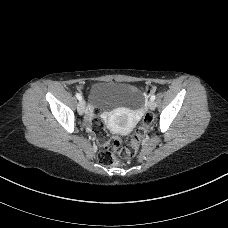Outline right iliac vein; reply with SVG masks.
<instances>
[{
    "label": "right iliac vein",
    "mask_w": 228,
    "mask_h": 228,
    "mask_svg": "<svg viewBox=\"0 0 228 228\" xmlns=\"http://www.w3.org/2000/svg\"><path fill=\"white\" fill-rule=\"evenodd\" d=\"M78 113L80 115H83L85 112V102L83 100H80L78 103V107H77Z\"/></svg>",
    "instance_id": "obj_1"
}]
</instances>
